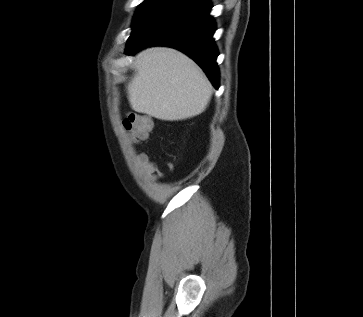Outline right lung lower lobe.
I'll use <instances>...</instances> for the list:
<instances>
[{
    "label": "right lung lower lobe",
    "instance_id": "obj_1",
    "mask_svg": "<svg viewBox=\"0 0 363 317\" xmlns=\"http://www.w3.org/2000/svg\"><path fill=\"white\" fill-rule=\"evenodd\" d=\"M209 0H184L153 21L134 41L126 54L152 45L177 48L194 59L218 89V52L212 38L216 26L209 15Z\"/></svg>",
    "mask_w": 363,
    "mask_h": 317
}]
</instances>
